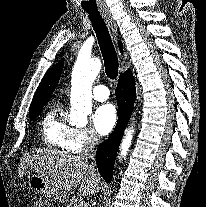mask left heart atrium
<instances>
[{
  "mask_svg": "<svg viewBox=\"0 0 206 207\" xmlns=\"http://www.w3.org/2000/svg\"><path fill=\"white\" fill-rule=\"evenodd\" d=\"M117 122V111L113 104H103L97 107L93 114V124L96 132L107 135L112 131Z\"/></svg>",
  "mask_w": 206,
  "mask_h": 207,
  "instance_id": "left-heart-atrium-1",
  "label": "left heart atrium"
}]
</instances>
